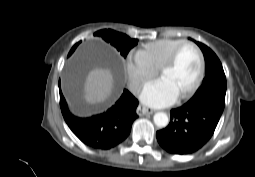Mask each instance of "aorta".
Returning a JSON list of instances; mask_svg holds the SVG:
<instances>
[{"mask_svg": "<svg viewBox=\"0 0 255 177\" xmlns=\"http://www.w3.org/2000/svg\"><path fill=\"white\" fill-rule=\"evenodd\" d=\"M154 123L156 126L163 128L166 127L168 125V116L166 113L164 112H157L155 113L154 117H153Z\"/></svg>", "mask_w": 255, "mask_h": 177, "instance_id": "obj_1", "label": "aorta"}]
</instances>
